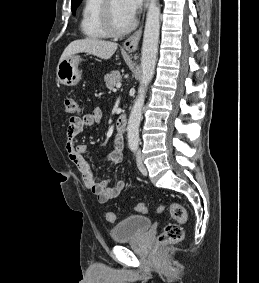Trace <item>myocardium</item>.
Instances as JSON below:
<instances>
[{
	"instance_id": "1",
	"label": "myocardium",
	"mask_w": 259,
	"mask_h": 283,
	"mask_svg": "<svg viewBox=\"0 0 259 283\" xmlns=\"http://www.w3.org/2000/svg\"><path fill=\"white\" fill-rule=\"evenodd\" d=\"M101 19L107 33L114 37H120L128 34L136 25L135 19H131V22L126 27H117L112 12V0H103L101 6Z\"/></svg>"
}]
</instances>
